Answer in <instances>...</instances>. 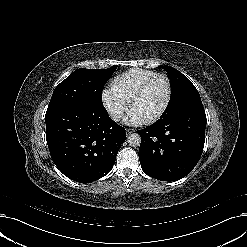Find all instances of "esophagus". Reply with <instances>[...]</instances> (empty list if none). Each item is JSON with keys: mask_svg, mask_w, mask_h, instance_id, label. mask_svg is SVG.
Segmentation results:
<instances>
[{"mask_svg": "<svg viewBox=\"0 0 247 247\" xmlns=\"http://www.w3.org/2000/svg\"><path fill=\"white\" fill-rule=\"evenodd\" d=\"M135 132V130L134 129H131V128H128L127 130H126V134L127 135H130V134H132V133H134Z\"/></svg>", "mask_w": 247, "mask_h": 247, "instance_id": "1", "label": "esophagus"}]
</instances>
